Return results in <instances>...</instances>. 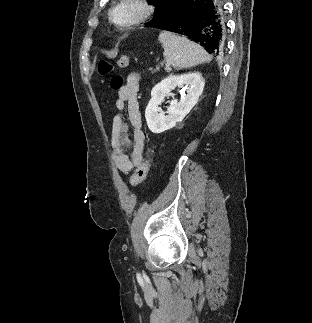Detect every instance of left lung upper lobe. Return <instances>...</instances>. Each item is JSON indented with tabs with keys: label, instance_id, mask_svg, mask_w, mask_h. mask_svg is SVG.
<instances>
[{
	"label": "left lung upper lobe",
	"instance_id": "5c2ea615",
	"mask_svg": "<svg viewBox=\"0 0 312 323\" xmlns=\"http://www.w3.org/2000/svg\"><path fill=\"white\" fill-rule=\"evenodd\" d=\"M176 0H147L149 4L156 7L153 19L148 23L149 26H158L166 20L167 16L171 12L172 5Z\"/></svg>",
	"mask_w": 312,
	"mask_h": 323
}]
</instances>
